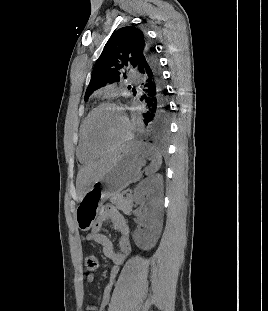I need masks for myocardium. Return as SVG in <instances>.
Listing matches in <instances>:
<instances>
[{
	"label": "myocardium",
	"mask_w": 268,
	"mask_h": 311,
	"mask_svg": "<svg viewBox=\"0 0 268 311\" xmlns=\"http://www.w3.org/2000/svg\"><path fill=\"white\" fill-rule=\"evenodd\" d=\"M103 108L117 109L123 116L124 123H125V130H124L123 135L120 137V139L113 146H111L105 150H98L90 142L89 127H90V122H91L93 116L99 110H101ZM130 133H131V126H130V121H129L127 115L116 104L111 103V102H103V103L97 105L94 109H92L90 111V113L87 115V117L85 118V121H84L83 138H84L85 146L89 150V152H91L92 154H94L96 156L105 155V154L110 153V152L116 150L117 148H119L122 144H124L128 140Z\"/></svg>",
	"instance_id": "f54148a6"
}]
</instances>
